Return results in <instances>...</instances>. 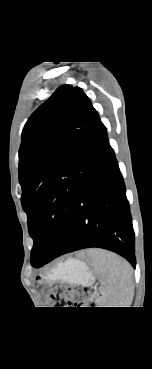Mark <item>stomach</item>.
<instances>
[{
  "label": "stomach",
  "mask_w": 152,
  "mask_h": 369,
  "mask_svg": "<svg viewBox=\"0 0 152 369\" xmlns=\"http://www.w3.org/2000/svg\"><path fill=\"white\" fill-rule=\"evenodd\" d=\"M48 278L83 286L91 285L94 281V276L88 266L84 262L75 259L58 265Z\"/></svg>",
  "instance_id": "stomach-1"
}]
</instances>
